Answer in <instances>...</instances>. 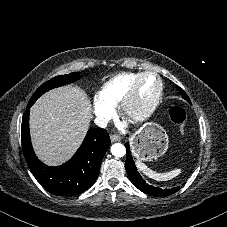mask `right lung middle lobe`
Masks as SVG:
<instances>
[{
  "label": "right lung middle lobe",
  "instance_id": "obj_1",
  "mask_svg": "<svg viewBox=\"0 0 227 227\" xmlns=\"http://www.w3.org/2000/svg\"><path fill=\"white\" fill-rule=\"evenodd\" d=\"M81 78L80 73L78 72H73L67 75H60V76H56L52 79H50L49 81L45 82L44 84H42L33 94V96L31 97L30 101L28 104L33 105L34 102L45 92L49 91L50 89L56 88V87H60L63 86L65 84H69L72 82H75L77 80H79Z\"/></svg>",
  "mask_w": 227,
  "mask_h": 227
}]
</instances>
